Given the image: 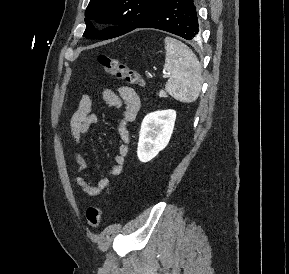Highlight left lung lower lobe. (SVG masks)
I'll list each match as a JSON object with an SVG mask.
<instances>
[{"label": "left lung lower lobe", "mask_w": 289, "mask_h": 274, "mask_svg": "<svg viewBox=\"0 0 289 274\" xmlns=\"http://www.w3.org/2000/svg\"><path fill=\"white\" fill-rule=\"evenodd\" d=\"M136 28L160 29L194 40L199 33L194 0H165Z\"/></svg>", "instance_id": "left-lung-lower-lobe-1"}]
</instances>
